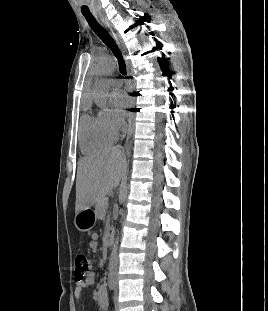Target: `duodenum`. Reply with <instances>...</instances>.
I'll use <instances>...</instances> for the list:
<instances>
[{
	"instance_id": "410a0bca",
	"label": "duodenum",
	"mask_w": 268,
	"mask_h": 311,
	"mask_svg": "<svg viewBox=\"0 0 268 311\" xmlns=\"http://www.w3.org/2000/svg\"><path fill=\"white\" fill-rule=\"evenodd\" d=\"M105 243L108 247L112 246L113 243H114V235L112 233H109L107 236H106V240H105Z\"/></svg>"
}]
</instances>
